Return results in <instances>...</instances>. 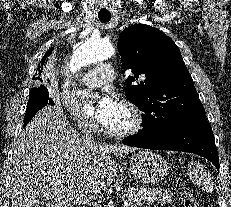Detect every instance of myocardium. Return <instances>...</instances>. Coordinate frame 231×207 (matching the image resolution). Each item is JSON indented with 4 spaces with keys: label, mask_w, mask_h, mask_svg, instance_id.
<instances>
[{
    "label": "myocardium",
    "mask_w": 231,
    "mask_h": 207,
    "mask_svg": "<svg viewBox=\"0 0 231 207\" xmlns=\"http://www.w3.org/2000/svg\"><path fill=\"white\" fill-rule=\"evenodd\" d=\"M131 114L132 124L123 130H111L106 126H103V132L111 138H127L139 133L144 126V116L140 108L130 100L124 99L121 103Z\"/></svg>",
    "instance_id": "f54148a6"
}]
</instances>
